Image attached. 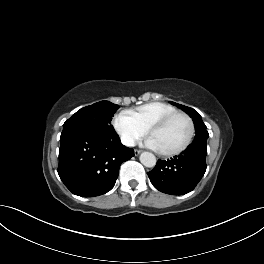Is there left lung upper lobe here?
I'll return each mask as SVG.
<instances>
[{"label": "left lung upper lobe", "instance_id": "left-lung-upper-lobe-1", "mask_svg": "<svg viewBox=\"0 0 264 264\" xmlns=\"http://www.w3.org/2000/svg\"><path fill=\"white\" fill-rule=\"evenodd\" d=\"M171 104L177 106L178 108L182 109L183 111H185L193 120L194 125H195V129H196V136L193 140L192 143H196V144H206L207 142V138L209 137V134L206 130V125L203 123L201 116L199 115V113L194 110L193 108L175 103V102H171Z\"/></svg>", "mask_w": 264, "mask_h": 264}]
</instances>
